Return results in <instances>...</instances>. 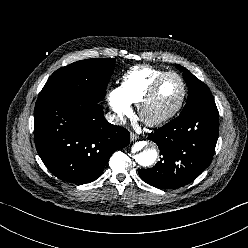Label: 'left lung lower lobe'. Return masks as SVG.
<instances>
[{
    "label": "left lung lower lobe",
    "instance_id": "0a47b994",
    "mask_svg": "<svg viewBox=\"0 0 248 248\" xmlns=\"http://www.w3.org/2000/svg\"><path fill=\"white\" fill-rule=\"evenodd\" d=\"M218 133L216 105L180 114L150 134L161 157L153 168L139 170L140 177L157 188L189 184L210 165Z\"/></svg>",
    "mask_w": 248,
    "mask_h": 248
}]
</instances>
